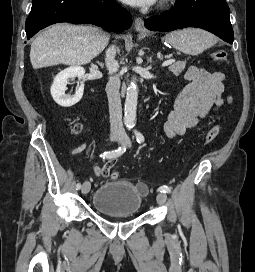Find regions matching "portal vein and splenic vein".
Returning <instances> with one entry per match:
<instances>
[{"instance_id":"obj_1","label":"portal vein and splenic vein","mask_w":255,"mask_h":272,"mask_svg":"<svg viewBox=\"0 0 255 272\" xmlns=\"http://www.w3.org/2000/svg\"><path fill=\"white\" fill-rule=\"evenodd\" d=\"M173 62H175L174 59H168V60H166V61H164V62L162 63V66H163V67L168 66V65L172 64Z\"/></svg>"}]
</instances>
